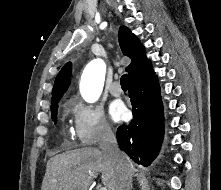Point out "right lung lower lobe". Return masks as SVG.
Masks as SVG:
<instances>
[{
  "label": "right lung lower lobe",
  "mask_w": 221,
  "mask_h": 190,
  "mask_svg": "<svg viewBox=\"0 0 221 190\" xmlns=\"http://www.w3.org/2000/svg\"><path fill=\"white\" fill-rule=\"evenodd\" d=\"M133 119L117 129L119 147L136 163L148 166L158 155L164 136V112L158 78L129 82Z\"/></svg>",
  "instance_id": "98d812e1"
}]
</instances>
